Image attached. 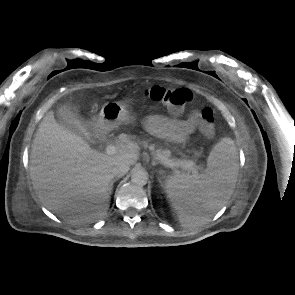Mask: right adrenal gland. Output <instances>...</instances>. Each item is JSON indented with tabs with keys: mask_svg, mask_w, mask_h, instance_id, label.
Masks as SVG:
<instances>
[{
	"mask_svg": "<svg viewBox=\"0 0 295 295\" xmlns=\"http://www.w3.org/2000/svg\"><path fill=\"white\" fill-rule=\"evenodd\" d=\"M119 179V177H116L114 179L111 180V183H110V192H112L113 190V184Z\"/></svg>",
	"mask_w": 295,
	"mask_h": 295,
	"instance_id": "obj_1",
	"label": "right adrenal gland"
}]
</instances>
